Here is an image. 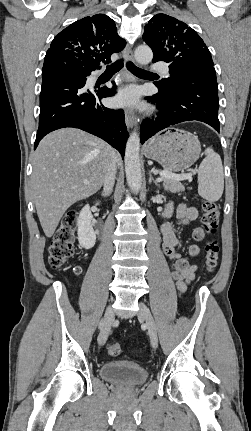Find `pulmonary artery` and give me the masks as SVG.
<instances>
[{
  "label": "pulmonary artery",
  "instance_id": "e3ab8cb5",
  "mask_svg": "<svg viewBox=\"0 0 251 431\" xmlns=\"http://www.w3.org/2000/svg\"><path fill=\"white\" fill-rule=\"evenodd\" d=\"M151 69L153 71H158V72H160L166 76H169V74H170L169 67L165 63H161V62L154 63L151 65Z\"/></svg>",
  "mask_w": 251,
  "mask_h": 431
}]
</instances>
